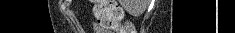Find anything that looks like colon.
I'll use <instances>...</instances> for the list:
<instances>
[{"label": "colon", "mask_w": 235, "mask_h": 33, "mask_svg": "<svg viewBox=\"0 0 235 33\" xmlns=\"http://www.w3.org/2000/svg\"><path fill=\"white\" fill-rule=\"evenodd\" d=\"M94 15L99 24L108 30H113L118 33H131L133 26L131 23L120 25L122 19V9L114 0H93Z\"/></svg>", "instance_id": "obj_1"}]
</instances>
